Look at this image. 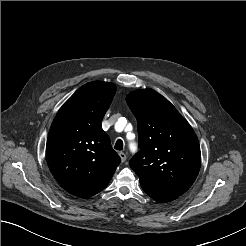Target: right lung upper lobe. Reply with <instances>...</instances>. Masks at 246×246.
<instances>
[{
    "label": "right lung upper lobe",
    "mask_w": 246,
    "mask_h": 246,
    "mask_svg": "<svg viewBox=\"0 0 246 246\" xmlns=\"http://www.w3.org/2000/svg\"><path fill=\"white\" fill-rule=\"evenodd\" d=\"M115 92L116 86L108 82L83 85L51 125L46 145L50 171L75 196L89 198L102 191L121 162L101 127Z\"/></svg>",
    "instance_id": "right-lung-upper-lobe-1"
}]
</instances>
